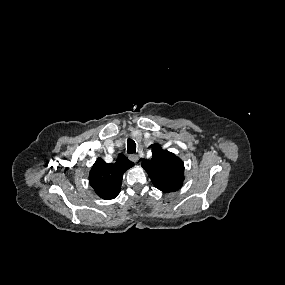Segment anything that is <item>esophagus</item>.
I'll return each instance as SVG.
<instances>
[{
    "instance_id": "34e87169",
    "label": "esophagus",
    "mask_w": 285,
    "mask_h": 285,
    "mask_svg": "<svg viewBox=\"0 0 285 285\" xmlns=\"http://www.w3.org/2000/svg\"><path fill=\"white\" fill-rule=\"evenodd\" d=\"M129 159H130L132 162L136 163V162H138L139 157H138V155H136V154H130V155H129Z\"/></svg>"
}]
</instances>
